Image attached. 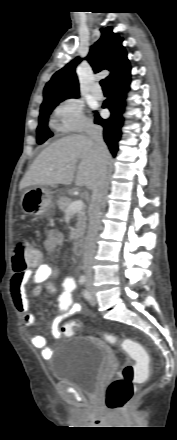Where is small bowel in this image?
<instances>
[{
	"label": "small bowel",
	"instance_id": "small-bowel-1",
	"mask_svg": "<svg viewBox=\"0 0 177 440\" xmlns=\"http://www.w3.org/2000/svg\"><path fill=\"white\" fill-rule=\"evenodd\" d=\"M64 243V236L56 229H49L44 242L45 248L53 251ZM59 274L56 267L45 263H38L33 270L28 269L22 272H16L10 281V292L13 303L22 315V324L24 328H30L36 323V316L31 312L29 299L26 294V285L31 281L34 285L33 294L39 296L43 291L49 294H55L57 288L52 281ZM76 289V281L72 277H66L62 282V292L58 295V313L53 319L51 334L54 339L61 338L60 325L69 316L85 312V307L75 301L73 292ZM33 347L41 350L43 358H49L52 353V347L47 344L46 337L40 334L31 336Z\"/></svg>",
	"mask_w": 177,
	"mask_h": 440
}]
</instances>
